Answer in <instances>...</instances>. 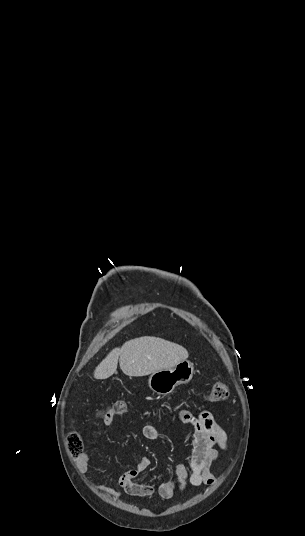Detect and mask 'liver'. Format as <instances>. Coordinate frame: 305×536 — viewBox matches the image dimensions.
<instances>
[{
  "label": "liver",
  "instance_id": "1",
  "mask_svg": "<svg viewBox=\"0 0 305 536\" xmlns=\"http://www.w3.org/2000/svg\"><path fill=\"white\" fill-rule=\"evenodd\" d=\"M185 348L162 338H135L125 342L122 348H114L94 370L96 380H107L117 374L119 366L126 376H149L158 370H169L187 360Z\"/></svg>",
  "mask_w": 305,
  "mask_h": 536
}]
</instances>
